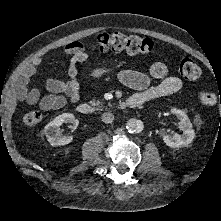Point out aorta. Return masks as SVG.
<instances>
[{
    "mask_svg": "<svg viewBox=\"0 0 221 221\" xmlns=\"http://www.w3.org/2000/svg\"><path fill=\"white\" fill-rule=\"evenodd\" d=\"M144 128V124L141 120L131 118L126 123V129L130 133H140Z\"/></svg>",
    "mask_w": 221,
    "mask_h": 221,
    "instance_id": "obj_1",
    "label": "aorta"
}]
</instances>
